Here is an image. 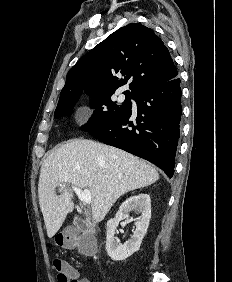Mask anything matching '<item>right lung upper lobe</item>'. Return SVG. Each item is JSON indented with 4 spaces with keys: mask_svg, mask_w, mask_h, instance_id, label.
Here are the masks:
<instances>
[{
    "mask_svg": "<svg viewBox=\"0 0 232 282\" xmlns=\"http://www.w3.org/2000/svg\"><path fill=\"white\" fill-rule=\"evenodd\" d=\"M178 71L163 41L144 25L131 23L85 54L68 72L60 100L84 91H115L129 82V92L167 82ZM117 76H122L118 78Z\"/></svg>",
    "mask_w": 232,
    "mask_h": 282,
    "instance_id": "obj_1",
    "label": "right lung upper lobe"
}]
</instances>
